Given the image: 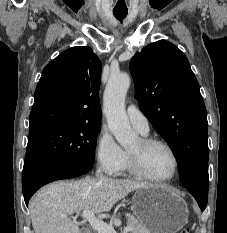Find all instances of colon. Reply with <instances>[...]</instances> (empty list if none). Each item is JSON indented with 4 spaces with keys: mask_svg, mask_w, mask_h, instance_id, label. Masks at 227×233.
I'll use <instances>...</instances> for the list:
<instances>
[{
    "mask_svg": "<svg viewBox=\"0 0 227 233\" xmlns=\"http://www.w3.org/2000/svg\"><path fill=\"white\" fill-rule=\"evenodd\" d=\"M178 233H190V229L189 228H183Z\"/></svg>",
    "mask_w": 227,
    "mask_h": 233,
    "instance_id": "obj_1",
    "label": "colon"
}]
</instances>
